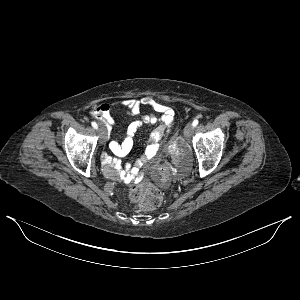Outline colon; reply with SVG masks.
<instances>
[{
	"label": "colon",
	"mask_w": 300,
	"mask_h": 300,
	"mask_svg": "<svg viewBox=\"0 0 300 300\" xmlns=\"http://www.w3.org/2000/svg\"><path fill=\"white\" fill-rule=\"evenodd\" d=\"M130 197L140 204L144 210H154L162 204V194L154 186L139 184L130 191Z\"/></svg>",
	"instance_id": "5ec220e1"
}]
</instances>
